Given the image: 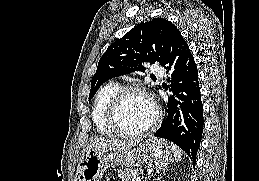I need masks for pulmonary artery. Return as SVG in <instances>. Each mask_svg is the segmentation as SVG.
<instances>
[{"label":"pulmonary artery","mask_w":259,"mask_h":181,"mask_svg":"<svg viewBox=\"0 0 259 181\" xmlns=\"http://www.w3.org/2000/svg\"><path fill=\"white\" fill-rule=\"evenodd\" d=\"M151 71L158 75H161L163 73L162 68H160L158 65H153Z\"/></svg>","instance_id":"e3ab8cb5"}]
</instances>
